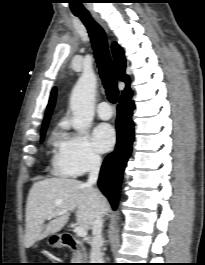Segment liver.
I'll use <instances>...</instances> for the list:
<instances>
[{"label":"liver","mask_w":205,"mask_h":265,"mask_svg":"<svg viewBox=\"0 0 205 265\" xmlns=\"http://www.w3.org/2000/svg\"><path fill=\"white\" fill-rule=\"evenodd\" d=\"M62 210L67 212L44 224L50 214ZM74 210L78 225L88 230L107 211V201L98 189L75 179L50 178L35 182L27 198L24 246L30 248L59 232Z\"/></svg>","instance_id":"6515ba94"}]
</instances>
